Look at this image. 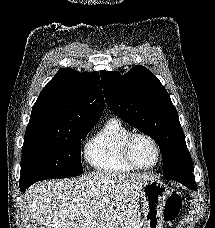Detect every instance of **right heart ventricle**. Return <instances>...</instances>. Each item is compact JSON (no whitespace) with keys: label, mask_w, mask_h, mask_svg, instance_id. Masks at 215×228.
<instances>
[{"label":"right heart ventricle","mask_w":215,"mask_h":228,"mask_svg":"<svg viewBox=\"0 0 215 228\" xmlns=\"http://www.w3.org/2000/svg\"><path fill=\"white\" fill-rule=\"evenodd\" d=\"M133 132L120 118L111 117L86 142L84 157L94 170L106 174H124L133 171L122 154L123 141Z\"/></svg>","instance_id":"right-heart-ventricle-1"}]
</instances>
